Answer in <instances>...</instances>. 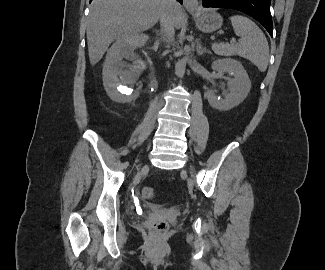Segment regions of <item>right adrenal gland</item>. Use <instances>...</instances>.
Here are the masks:
<instances>
[{
    "instance_id": "2a0ac1e0",
    "label": "right adrenal gland",
    "mask_w": 325,
    "mask_h": 270,
    "mask_svg": "<svg viewBox=\"0 0 325 270\" xmlns=\"http://www.w3.org/2000/svg\"><path fill=\"white\" fill-rule=\"evenodd\" d=\"M156 35L159 36L161 33L158 30H155Z\"/></svg>"
}]
</instances>
